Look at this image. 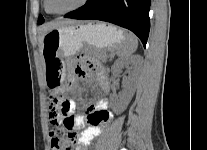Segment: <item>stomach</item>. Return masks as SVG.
I'll return each mask as SVG.
<instances>
[{"label": "stomach", "instance_id": "obj_1", "mask_svg": "<svg viewBox=\"0 0 207 150\" xmlns=\"http://www.w3.org/2000/svg\"><path fill=\"white\" fill-rule=\"evenodd\" d=\"M126 40L120 28L101 22H77L48 31L42 42V56L49 87L61 85L66 77L63 59L73 58L83 45L92 56L101 59L107 52L115 51Z\"/></svg>", "mask_w": 207, "mask_h": 150}]
</instances>
